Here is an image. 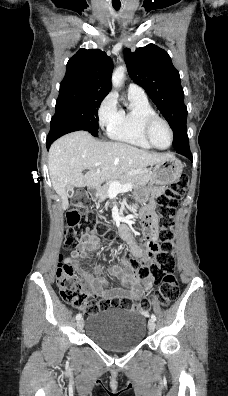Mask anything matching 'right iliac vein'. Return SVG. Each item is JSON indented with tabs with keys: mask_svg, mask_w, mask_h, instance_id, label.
I'll use <instances>...</instances> for the list:
<instances>
[{
	"mask_svg": "<svg viewBox=\"0 0 228 396\" xmlns=\"http://www.w3.org/2000/svg\"><path fill=\"white\" fill-rule=\"evenodd\" d=\"M76 326H77V329H78L79 331H81L82 328H83V326H84V320H83V319H79V320L77 321Z\"/></svg>",
	"mask_w": 228,
	"mask_h": 396,
	"instance_id": "1",
	"label": "right iliac vein"
}]
</instances>
